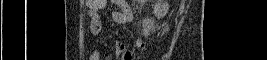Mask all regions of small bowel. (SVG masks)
I'll use <instances>...</instances> for the list:
<instances>
[{"label": "small bowel", "instance_id": "1", "mask_svg": "<svg viewBox=\"0 0 267 60\" xmlns=\"http://www.w3.org/2000/svg\"><path fill=\"white\" fill-rule=\"evenodd\" d=\"M101 4L96 7L92 0H89L87 3V13L90 20L89 32L94 37H99L103 32V23L100 15V11L105 6L106 1L100 0ZM115 4L120 8L119 11L112 13V19L118 24H129L133 20V12L125 0H115ZM114 53L116 58L121 60H131L132 55L129 51H126L125 44L121 41H117L114 47ZM90 60H100L101 53L98 49H95L91 52Z\"/></svg>", "mask_w": 267, "mask_h": 60}]
</instances>
